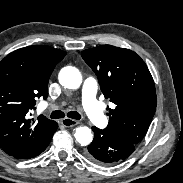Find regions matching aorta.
Here are the masks:
<instances>
[{
	"label": "aorta",
	"mask_w": 183,
	"mask_h": 183,
	"mask_svg": "<svg viewBox=\"0 0 183 183\" xmlns=\"http://www.w3.org/2000/svg\"><path fill=\"white\" fill-rule=\"evenodd\" d=\"M60 84L68 89H78L82 83V76L79 70L72 66H66L59 73ZM76 141L82 145H87L92 142L93 135L90 128L80 126L74 134Z\"/></svg>",
	"instance_id": "aorta-1"
}]
</instances>
